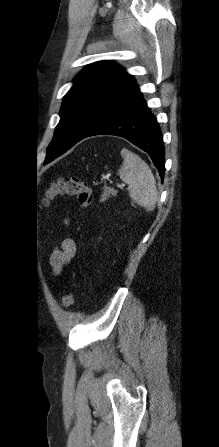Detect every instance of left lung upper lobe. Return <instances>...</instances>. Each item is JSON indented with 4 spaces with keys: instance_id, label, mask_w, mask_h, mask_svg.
Listing matches in <instances>:
<instances>
[{
    "instance_id": "5c2ea615",
    "label": "left lung upper lobe",
    "mask_w": 219,
    "mask_h": 447,
    "mask_svg": "<svg viewBox=\"0 0 219 447\" xmlns=\"http://www.w3.org/2000/svg\"><path fill=\"white\" fill-rule=\"evenodd\" d=\"M74 83L63 99L61 119L47 149L46 160L84 139L127 95L135 80L114 63L99 61L79 73Z\"/></svg>"
}]
</instances>
